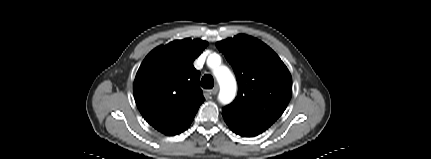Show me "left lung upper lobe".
<instances>
[{"mask_svg": "<svg viewBox=\"0 0 431 159\" xmlns=\"http://www.w3.org/2000/svg\"><path fill=\"white\" fill-rule=\"evenodd\" d=\"M231 64L238 95L223 109L226 123L265 131L284 112L292 96V78L278 55L260 40L239 34L216 43Z\"/></svg>", "mask_w": 431, "mask_h": 159, "instance_id": "obj_1", "label": "left lung upper lobe"}]
</instances>
